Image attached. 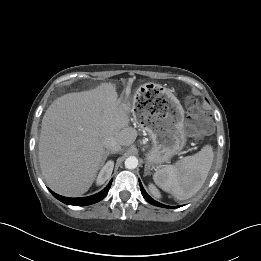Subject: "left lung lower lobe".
<instances>
[{"label":"left lung lower lobe","mask_w":261,"mask_h":261,"mask_svg":"<svg viewBox=\"0 0 261 261\" xmlns=\"http://www.w3.org/2000/svg\"><path fill=\"white\" fill-rule=\"evenodd\" d=\"M139 184H140V189H141V193L143 195V197L145 198V200H147L150 204H153L155 206H159V207H164V208H175V207H172V206H167V205H163L157 201H155L154 199H152L145 191V189L143 188L141 182L139 181Z\"/></svg>","instance_id":"1"}]
</instances>
